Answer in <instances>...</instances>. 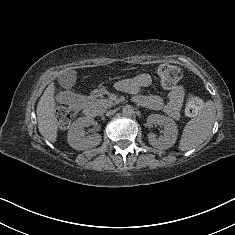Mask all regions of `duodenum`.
Masks as SVG:
<instances>
[{
    "mask_svg": "<svg viewBox=\"0 0 235 235\" xmlns=\"http://www.w3.org/2000/svg\"><path fill=\"white\" fill-rule=\"evenodd\" d=\"M85 105H86V112L89 116H93L94 115V108L90 103V99H86L85 100Z\"/></svg>",
    "mask_w": 235,
    "mask_h": 235,
    "instance_id": "410a0bca",
    "label": "duodenum"
}]
</instances>
